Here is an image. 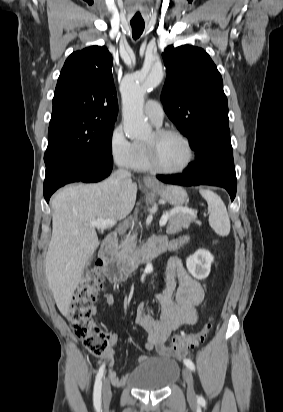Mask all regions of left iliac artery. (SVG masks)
Returning a JSON list of instances; mask_svg holds the SVG:
<instances>
[{
  "mask_svg": "<svg viewBox=\"0 0 283 412\" xmlns=\"http://www.w3.org/2000/svg\"><path fill=\"white\" fill-rule=\"evenodd\" d=\"M184 364H185L190 370L195 371V365H194V363H193L190 359H184ZM198 401H199V402H203V401H204L203 397L200 396V397L198 398Z\"/></svg>",
  "mask_w": 283,
  "mask_h": 412,
  "instance_id": "left-iliac-artery-1",
  "label": "left iliac artery"
}]
</instances>
